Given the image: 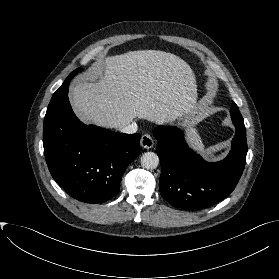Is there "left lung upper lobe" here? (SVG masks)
Masks as SVG:
<instances>
[{
	"instance_id": "obj_1",
	"label": "left lung upper lobe",
	"mask_w": 279,
	"mask_h": 279,
	"mask_svg": "<svg viewBox=\"0 0 279 279\" xmlns=\"http://www.w3.org/2000/svg\"><path fill=\"white\" fill-rule=\"evenodd\" d=\"M230 113H231L232 121L244 124L241 113H240V111L238 109V106L236 105L235 102L232 103Z\"/></svg>"
}]
</instances>
